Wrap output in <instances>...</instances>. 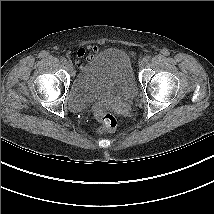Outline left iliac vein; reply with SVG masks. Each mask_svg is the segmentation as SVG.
Returning <instances> with one entry per match:
<instances>
[{
  "mask_svg": "<svg viewBox=\"0 0 214 214\" xmlns=\"http://www.w3.org/2000/svg\"><path fill=\"white\" fill-rule=\"evenodd\" d=\"M145 63H146L145 60L142 59V60L139 61L138 65H139L140 68H143Z\"/></svg>",
  "mask_w": 214,
  "mask_h": 214,
  "instance_id": "1",
  "label": "left iliac vein"
}]
</instances>
